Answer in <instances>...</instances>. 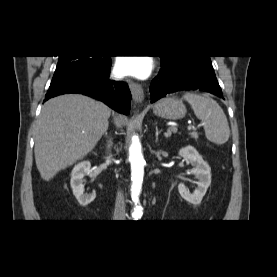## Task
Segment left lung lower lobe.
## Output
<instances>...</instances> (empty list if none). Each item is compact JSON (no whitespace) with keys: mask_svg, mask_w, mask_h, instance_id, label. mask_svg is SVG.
Listing matches in <instances>:
<instances>
[{"mask_svg":"<svg viewBox=\"0 0 277 277\" xmlns=\"http://www.w3.org/2000/svg\"><path fill=\"white\" fill-rule=\"evenodd\" d=\"M181 90L205 91L223 98L212 65H162L150 86L151 103Z\"/></svg>","mask_w":277,"mask_h":277,"instance_id":"obj_1","label":"left lung lower lobe"}]
</instances>
